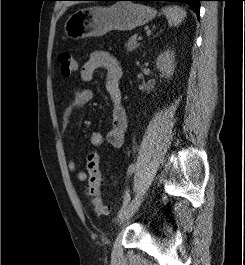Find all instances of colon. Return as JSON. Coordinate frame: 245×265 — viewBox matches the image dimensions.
<instances>
[{
	"label": "colon",
	"instance_id": "obj_1",
	"mask_svg": "<svg viewBox=\"0 0 245 265\" xmlns=\"http://www.w3.org/2000/svg\"><path fill=\"white\" fill-rule=\"evenodd\" d=\"M61 73L68 77L72 75L77 69V63L74 56L70 52H62L60 54ZM86 169L88 173V192L92 197L94 210L97 214H106L109 208L104 205L100 186L102 182V174L99 168V156L97 152L91 151L86 158Z\"/></svg>",
	"mask_w": 245,
	"mask_h": 265
}]
</instances>
